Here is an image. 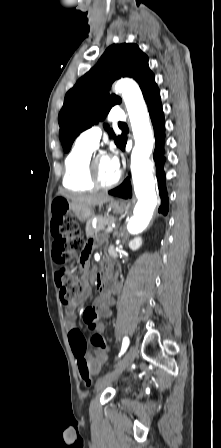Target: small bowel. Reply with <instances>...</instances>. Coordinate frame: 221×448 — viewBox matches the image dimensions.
Wrapping results in <instances>:
<instances>
[{
  "label": "small bowel",
  "instance_id": "small-bowel-1",
  "mask_svg": "<svg viewBox=\"0 0 221 448\" xmlns=\"http://www.w3.org/2000/svg\"><path fill=\"white\" fill-rule=\"evenodd\" d=\"M53 218H54V209H53V213H52V220H53ZM57 227L58 226H54L51 221V229H52V235H53V254L56 251L55 244L57 242V234H56ZM95 243H96L95 241L90 242L88 247L91 249L95 245ZM82 263H84V262H82ZM81 284L83 286V291H82L81 296L72 305L68 306L67 310H66V313L68 316V318L66 320V325L68 328V336H69L71 330H73L75 328L73 326L75 307L86 297V295L88 293V284H87V280L85 277L81 278ZM112 303H113V300H112L110 292L108 290H106L105 288H102L101 294L94 300L92 308L97 313L98 318H107L111 314L110 307H111ZM95 330L98 333H101L104 331V324L100 320H97ZM81 336L83 337L82 333H81ZM69 342H70V340H69ZM70 346L72 349V353H73L74 357L76 358L71 343H70ZM108 353H109V347L107 345H105V347H103V348H97L94 354H86L85 353V359L87 360L92 372L98 373L100 371L101 367L107 361Z\"/></svg>",
  "mask_w": 221,
  "mask_h": 448
}]
</instances>
